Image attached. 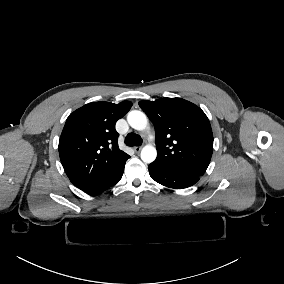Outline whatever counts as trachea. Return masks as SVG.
Wrapping results in <instances>:
<instances>
[{"mask_svg":"<svg viewBox=\"0 0 284 284\" xmlns=\"http://www.w3.org/2000/svg\"><path fill=\"white\" fill-rule=\"evenodd\" d=\"M142 138L140 137V135L135 134V133H129L126 137H125V144L127 146H140L142 145Z\"/></svg>","mask_w":284,"mask_h":284,"instance_id":"1","label":"trachea"}]
</instances>
